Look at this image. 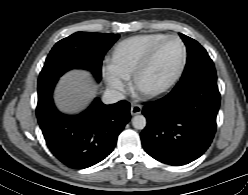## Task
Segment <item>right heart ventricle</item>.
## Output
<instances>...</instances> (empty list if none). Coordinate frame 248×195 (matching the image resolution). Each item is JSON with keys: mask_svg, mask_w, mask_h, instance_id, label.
<instances>
[{"mask_svg": "<svg viewBox=\"0 0 248 195\" xmlns=\"http://www.w3.org/2000/svg\"><path fill=\"white\" fill-rule=\"evenodd\" d=\"M167 35L152 33L135 36L122 41L116 48L112 68L126 78L133 76L142 66L152 49Z\"/></svg>", "mask_w": 248, "mask_h": 195, "instance_id": "1", "label": "right heart ventricle"}]
</instances>
